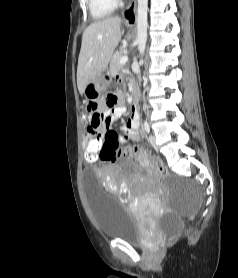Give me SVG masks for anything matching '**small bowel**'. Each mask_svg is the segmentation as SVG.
Here are the masks:
<instances>
[{"label": "small bowel", "instance_id": "c3829d8e", "mask_svg": "<svg viewBox=\"0 0 238 278\" xmlns=\"http://www.w3.org/2000/svg\"><path fill=\"white\" fill-rule=\"evenodd\" d=\"M126 111L125 106L118 100H105L103 104L96 107L89 121L86 131H90V136L84 137H103L105 145L109 142H136L140 139L139 125L140 114L139 112L132 111V115L128 122L122 126L121 130L123 135L111 129L110 123L120 118ZM104 147V146H103ZM137 160L143 167L149 166L148 157L145 154H138Z\"/></svg>", "mask_w": 238, "mask_h": 278}]
</instances>
